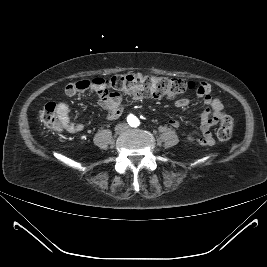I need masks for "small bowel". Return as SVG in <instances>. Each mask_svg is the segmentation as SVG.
<instances>
[{"instance_id":"small-bowel-1","label":"small bowel","mask_w":267,"mask_h":267,"mask_svg":"<svg viewBox=\"0 0 267 267\" xmlns=\"http://www.w3.org/2000/svg\"><path fill=\"white\" fill-rule=\"evenodd\" d=\"M98 84L93 86V89L99 88L101 79H94ZM87 80H81L77 82L69 83L65 87V93L68 96H75L81 92L87 91V88H83V83ZM198 98L202 99L203 111L200 119V131L202 135L198 138H194L191 135L187 136L188 141L195 142L201 146H212L215 144V139L212 135L211 128L215 126L225 115L224 104L211 94V87L208 83L202 82L197 87ZM190 103L189 98H180L176 102L178 108H186ZM98 104L106 111V117L109 120H114L120 117L123 112L122 98L119 94H109L104 98L98 99ZM57 114L61 124V129L69 133H79L84 129V124L80 122H73L69 116V107L64 102H59L56 106ZM170 125L173 128L180 126V121L173 119L170 121Z\"/></svg>"}]
</instances>
